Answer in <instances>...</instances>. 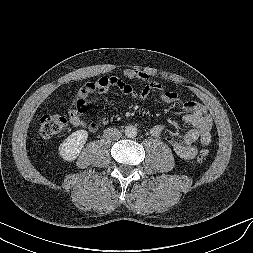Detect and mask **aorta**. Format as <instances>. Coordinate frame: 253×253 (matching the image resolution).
<instances>
[{
	"label": "aorta",
	"instance_id": "762f6f07",
	"mask_svg": "<svg viewBox=\"0 0 253 253\" xmlns=\"http://www.w3.org/2000/svg\"><path fill=\"white\" fill-rule=\"evenodd\" d=\"M137 128L133 125L125 127L124 133L127 138H135L137 136Z\"/></svg>",
	"mask_w": 253,
	"mask_h": 253
}]
</instances>
